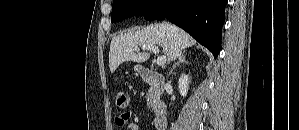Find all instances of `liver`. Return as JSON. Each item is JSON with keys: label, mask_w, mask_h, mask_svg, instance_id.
I'll use <instances>...</instances> for the list:
<instances>
[{"label": "liver", "mask_w": 299, "mask_h": 130, "mask_svg": "<svg viewBox=\"0 0 299 130\" xmlns=\"http://www.w3.org/2000/svg\"><path fill=\"white\" fill-rule=\"evenodd\" d=\"M167 23L152 24L141 30H130L114 36L110 44L109 67L113 73L123 62H145L150 57L148 52L134 53L135 47L157 45L162 48L168 60L171 59L175 45L185 50L196 41L184 30Z\"/></svg>", "instance_id": "liver-1"}]
</instances>
